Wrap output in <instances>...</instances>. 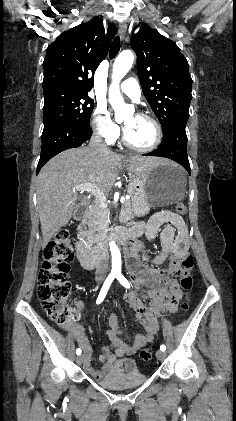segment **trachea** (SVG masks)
Here are the masks:
<instances>
[{"label":"trachea","instance_id":"trachea-1","mask_svg":"<svg viewBox=\"0 0 236 421\" xmlns=\"http://www.w3.org/2000/svg\"><path fill=\"white\" fill-rule=\"evenodd\" d=\"M121 48V41L119 37H115L110 47L109 57L115 58Z\"/></svg>","mask_w":236,"mask_h":421}]
</instances>
